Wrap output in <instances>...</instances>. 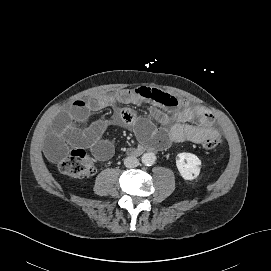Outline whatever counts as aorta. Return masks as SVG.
Segmentation results:
<instances>
[{"mask_svg":"<svg viewBox=\"0 0 271 271\" xmlns=\"http://www.w3.org/2000/svg\"><path fill=\"white\" fill-rule=\"evenodd\" d=\"M141 161L146 166H152L156 161V156L152 152L145 153L142 155Z\"/></svg>","mask_w":271,"mask_h":271,"instance_id":"1","label":"aorta"}]
</instances>
